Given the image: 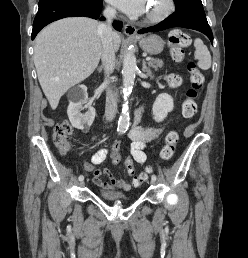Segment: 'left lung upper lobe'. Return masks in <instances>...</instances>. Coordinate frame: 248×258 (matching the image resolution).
Returning a JSON list of instances; mask_svg holds the SVG:
<instances>
[{"label":"left lung upper lobe","instance_id":"obj_1","mask_svg":"<svg viewBox=\"0 0 248 258\" xmlns=\"http://www.w3.org/2000/svg\"><path fill=\"white\" fill-rule=\"evenodd\" d=\"M176 11L188 10L194 7H203L201 0H174Z\"/></svg>","mask_w":248,"mask_h":258}]
</instances>
